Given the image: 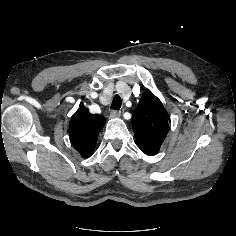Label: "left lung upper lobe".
Segmentation results:
<instances>
[{"mask_svg":"<svg viewBox=\"0 0 236 236\" xmlns=\"http://www.w3.org/2000/svg\"><path fill=\"white\" fill-rule=\"evenodd\" d=\"M170 118L161 101L150 91L144 92L132 115L136 142L145 154L159 152L169 131Z\"/></svg>","mask_w":236,"mask_h":236,"instance_id":"obj_1","label":"left lung upper lobe"}]
</instances>
